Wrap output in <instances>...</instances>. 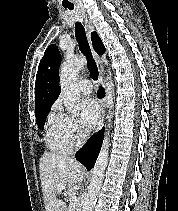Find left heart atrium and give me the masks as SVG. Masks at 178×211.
<instances>
[{
  "instance_id": "obj_1",
  "label": "left heart atrium",
  "mask_w": 178,
  "mask_h": 211,
  "mask_svg": "<svg viewBox=\"0 0 178 211\" xmlns=\"http://www.w3.org/2000/svg\"><path fill=\"white\" fill-rule=\"evenodd\" d=\"M100 113L98 103L92 98L80 102V123L86 130H91L97 123Z\"/></svg>"
}]
</instances>
